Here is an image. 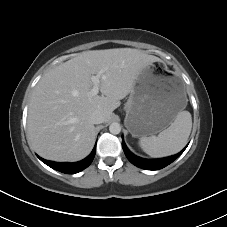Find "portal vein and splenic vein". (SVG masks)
<instances>
[{
	"label": "portal vein and splenic vein",
	"mask_w": 227,
	"mask_h": 227,
	"mask_svg": "<svg viewBox=\"0 0 227 227\" xmlns=\"http://www.w3.org/2000/svg\"><path fill=\"white\" fill-rule=\"evenodd\" d=\"M100 77H101V73L91 76V81L93 83V87L89 93L91 97L96 96L99 93Z\"/></svg>",
	"instance_id": "obj_1"
}]
</instances>
